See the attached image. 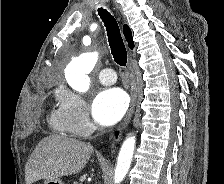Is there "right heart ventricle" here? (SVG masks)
Listing matches in <instances>:
<instances>
[{
  "instance_id": "obj_1",
  "label": "right heart ventricle",
  "mask_w": 224,
  "mask_h": 184,
  "mask_svg": "<svg viewBox=\"0 0 224 184\" xmlns=\"http://www.w3.org/2000/svg\"><path fill=\"white\" fill-rule=\"evenodd\" d=\"M49 122L52 129L58 133H64V134L72 133L64 117L61 105L52 111Z\"/></svg>"
}]
</instances>
